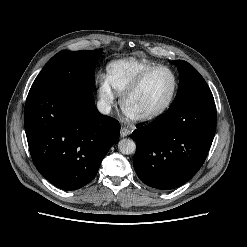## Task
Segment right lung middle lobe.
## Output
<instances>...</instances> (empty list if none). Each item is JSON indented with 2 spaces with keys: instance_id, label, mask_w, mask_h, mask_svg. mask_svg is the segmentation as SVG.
<instances>
[{
  "instance_id": "obj_1",
  "label": "right lung middle lobe",
  "mask_w": 247,
  "mask_h": 247,
  "mask_svg": "<svg viewBox=\"0 0 247 247\" xmlns=\"http://www.w3.org/2000/svg\"><path fill=\"white\" fill-rule=\"evenodd\" d=\"M102 53L98 50L58 52L39 73L29 94L53 89L93 91L95 66Z\"/></svg>"
}]
</instances>
